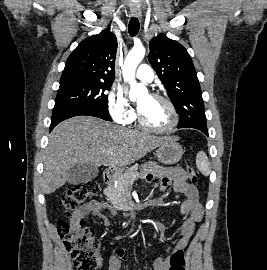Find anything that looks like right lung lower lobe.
I'll list each match as a JSON object with an SVG mask.
<instances>
[{"label":"right lung lower lobe","instance_id":"obj_1","mask_svg":"<svg viewBox=\"0 0 267 270\" xmlns=\"http://www.w3.org/2000/svg\"><path fill=\"white\" fill-rule=\"evenodd\" d=\"M79 115H87V116H94L106 121H111V117L109 115L108 110L102 109H84L78 110L73 108H56L54 107L52 118H51V125L50 131L60 122Z\"/></svg>","mask_w":267,"mask_h":270}]
</instances>
